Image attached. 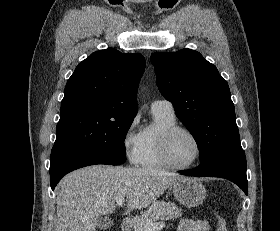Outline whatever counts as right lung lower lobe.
Instances as JSON below:
<instances>
[{
    "label": "right lung lower lobe",
    "instance_id": "right-lung-lower-lobe-1",
    "mask_svg": "<svg viewBox=\"0 0 280 231\" xmlns=\"http://www.w3.org/2000/svg\"><path fill=\"white\" fill-rule=\"evenodd\" d=\"M95 164L120 165L123 163L75 147H53L50 158L52 190L67 173Z\"/></svg>",
    "mask_w": 280,
    "mask_h": 231
}]
</instances>
